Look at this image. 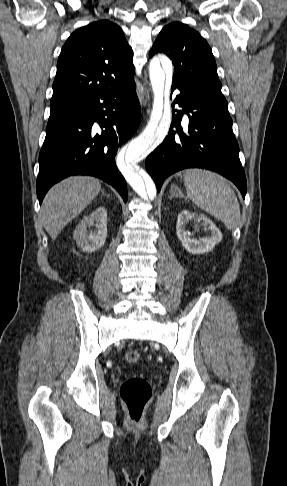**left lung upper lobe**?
Returning <instances> with one entry per match:
<instances>
[{"label":"left lung upper lobe","instance_id":"obj_1","mask_svg":"<svg viewBox=\"0 0 287 486\" xmlns=\"http://www.w3.org/2000/svg\"><path fill=\"white\" fill-rule=\"evenodd\" d=\"M156 53L173 60V81L189 85L210 105L229 114L211 48L197 31L180 22L166 25L149 55Z\"/></svg>","mask_w":287,"mask_h":486}]
</instances>
